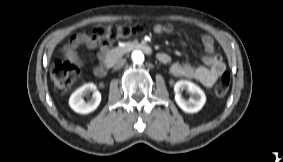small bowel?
<instances>
[{"mask_svg": "<svg viewBox=\"0 0 283 162\" xmlns=\"http://www.w3.org/2000/svg\"><path fill=\"white\" fill-rule=\"evenodd\" d=\"M173 26L171 24L156 25L154 32L156 34L171 33ZM206 55L202 58L203 65L194 67L187 63H179L171 61V57L166 53L158 55L159 60L164 64H170V71L173 75L194 79L204 86H212L217 79L224 74L225 64L221 57L214 54L215 43L210 35H203L201 38ZM102 40L94 36L78 33L71 37L69 42L64 46L65 58L70 63L76 66H81V60L77 53V48L85 46L89 49H95L100 46L98 60L101 61L97 66L92 68V75L98 78H107L110 75V70L105 65L107 58L111 55V50L108 44H102Z\"/></svg>", "mask_w": 283, "mask_h": 162, "instance_id": "obj_1", "label": "small bowel"}]
</instances>
